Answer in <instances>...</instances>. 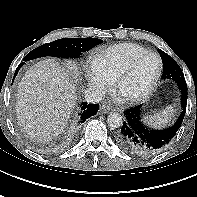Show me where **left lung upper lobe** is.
<instances>
[{
	"mask_svg": "<svg viewBox=\"0 0 197 197\" xmlns=\"http://www.w3.org/2000/svg\"><path fill=\"white\" fill-rule=\"evenodd\" d=\"M163 62V79H172L176 83H185L184 75L179 65L165 52L158 49Z\"/></svg>",
	"mask_w": 197,
	"mask_h": 197,
	"instance_id": "5c2ea615",
	"label": "left lung upper lobe"
}]
</instances>
